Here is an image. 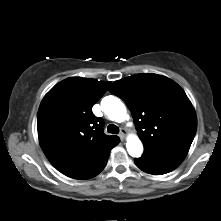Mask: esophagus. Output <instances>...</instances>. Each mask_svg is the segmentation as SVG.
<instances>
[{"instance_id": "esophagus-1", "label": "esophagus", "mask_w": 221, "mask_h": 221, "mask_svg": "<svg viewBox=\"0 0 221 221\" xmlns=\"http://www.w3.org/2000/svg\"><path fill=\"white\" fill-rule=\"evenodd\" d=\"M126 135H127V130L121 129L119 137L123 140V139H125Z\"/></svg>"}]
</instances>
